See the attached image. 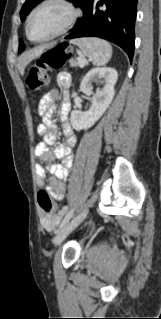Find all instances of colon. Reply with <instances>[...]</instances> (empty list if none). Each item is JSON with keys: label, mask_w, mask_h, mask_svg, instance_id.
<instances>
[{"label": "colon", "mask_w": 161, "mask_h": 319, "mask_svg": "<svg viewBox=\"0 0 161 319\" xmlns=\"http://www.w3.org/2000/svg\"><path fill=\"white\" fill-rule=\"evenodd\" d=\"M72 54V48L66 44L56 45L43 53L28 71L26 81L29 89L33 92L39 91L48 83L47 70L63 67ZM38 202L40 207L46 212H51L56 207L49 192L46 190L39 191Z\"/></svg>", "instance_id": "5ec220e1"}]
</instances>
